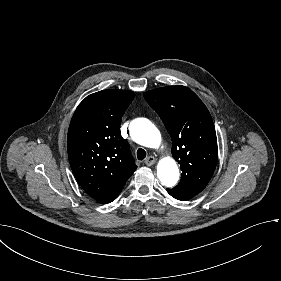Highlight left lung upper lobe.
<instances>
[{
  "mask_svg": "<svg viewBox=\"0 0 281 281\" xmlns=\"http://www.w3.org/2000/svg\"><path fill=\"white\" fill-rule=\"evenodd\" d=\"M171 136L172 155L180 164L178 192L195 196L211 179L217 164V139L212 117L199 97L185 86L144 93Z\"/></svg>",
  "mask_w": 281,
  "mask_h": 281,
  "instance_id": "5c2ea615",
  "label": "left lung upper lobe"
}]
</instances>
